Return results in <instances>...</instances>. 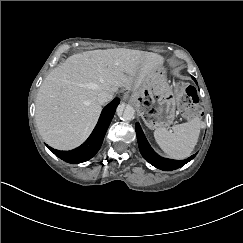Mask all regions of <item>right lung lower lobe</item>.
I'll list each match as a JSON object with an SVG mask.
<instances>
[{
  "instance_id": "98d812e1",
  "label": "right lung lower lobe",
  "mask_w": 243,
  "mask_h": 243,
  "mask_svg": "<svg viewBox=\"0 0 243 243\" xmlns=\"http://www.w3.org/2000/svg\"><path fill=\"white\" fill-rule=\"evenodd\" d=\"M120 100L115 98L102 111L99 121L89 138L78 148L71 151H59L47 145V147L59 158L68 163H81L91 159L100 149L105 133L114 116Z\"/></svg>"
}]
</instances>
